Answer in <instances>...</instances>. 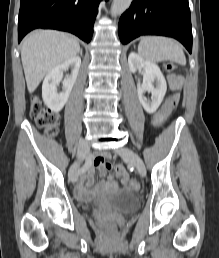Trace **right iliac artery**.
<instances>
[{"instance_id": "right-iliac-artery-1", "label": "right iliac artery", "mask_w": 219, "mask_h": 258, "mask_svg": "<svg viewBox=\"0 0 219 258\" xmlns=\"http://www.w3.org/2000/svg\"><path fill=\"white\" fill-rule=\"evenodd\" d=\"M91 166V159L87 158L85 164L78 170V174L85 173Z\"/></svg>"}]
</instances>
